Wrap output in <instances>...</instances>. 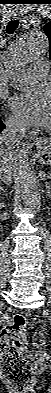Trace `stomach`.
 <instances>
[{
	"instance_id": "obj_1",
	"label": "stomach",
	"mask_w": 51,
	"mask_h": 393,
	"mask_svg": "<svg viewBox=\"0 0 51 393\" xmlns=\"http://www.w3.org/2000/svg\"><path fill=\"white\" fill-rule=\"evenodd\" d=\"M37 158L40 164L51 166V143L44 144L39 148Z\"/></svg>"
}]
</instances>
